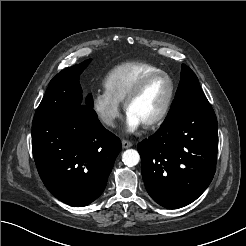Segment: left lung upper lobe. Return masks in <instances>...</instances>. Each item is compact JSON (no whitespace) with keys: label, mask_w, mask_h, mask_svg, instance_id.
<instances>
[{"label":"left lung upper lobe","mask_w":246,"mask_h":246,"mask_svg":"<svg viewBox=\"0 0 246 246\" xmlns=\"http://www.w3.org/2000/svg\"><path fill=\"white\" fill-rule=\"evenodd\" d=\"M198 78L195 73L185 64H182L181 80L170 112L166 119L189 107L207 103Z\"/></svg>","instance_id":"obj_1"}]
</instances>
